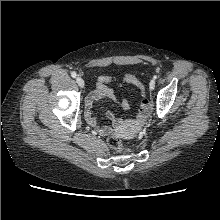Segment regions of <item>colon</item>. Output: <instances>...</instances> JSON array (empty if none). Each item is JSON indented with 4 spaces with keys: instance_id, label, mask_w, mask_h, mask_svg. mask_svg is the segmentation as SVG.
I'll return each mask as SVG.
<instances>
[{
    "instance_id": "5ec220e1",
    "label": "colon",
    "mask_w": 220,
    "mask_h": 220,
    "mask_svg": "<svg viewBox=\"0 0 220 220\" xmlns=\"http://www.w3.org/2000/svg\"><path fill=\"white\" fill-rule=\"evenodd\" d=\"M150 110V102L148 99H145L142 102V113L146 114ZM108 145L116 152H124L126 149L122 143V141L116 137V136H111L108 138Z\"/></svg>"
}]
</instances>
